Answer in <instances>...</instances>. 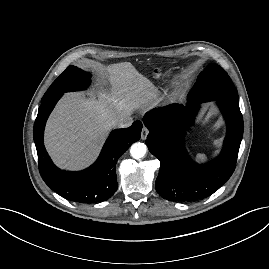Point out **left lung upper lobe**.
<instances>
[{
    "label": "left lung upper lobe",
    "instance_id": "left-lung-upper-lobe-1",
    "mask_svg": "<svg viewBox=\"0 0 269 269\" xmlns=\"http://www.w3.org/2000/svg\"><path fill=\"white\" fill-rule=\"evenodd\" d=\"M194 102L227 99L239 102L237 90L228 74L217 64H209L198 76L189 94Z\"/></svg>",
    "mask_w": 269,
    "mask_h": 269
}]
</instances>
